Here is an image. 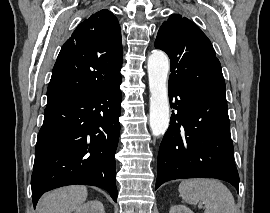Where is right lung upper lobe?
I'll return each mask as SVG.
<instances>
[{"mask_svg": "<svg viewBox=\"0 0 270 213\" xmlns=\"http://www.w3.org/2000/svg\"><path fill=\"white\" fill-rule=\"evenodd\" d=\"M121 28L101 10L80 23L62 46L47 89L48 103L80 98L121 81Z\"/></svg>", "mask_w": 270, "mask_h": 213, "instance_id": "right-lung-upper-lobe-1", "label": "right lung upper lobe"}]
</instances>
